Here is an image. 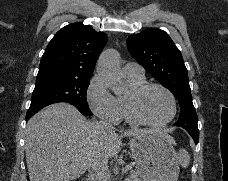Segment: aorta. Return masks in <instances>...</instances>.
I'll return each instance as SVG.
<instances>
[{"mask_svg": "<svg viewBox=\"0 0 228 181\" xmlns=\"http://www.w3.org/2000/svg\"><path fill=\"white\" fill-rule=\"evenodd\" d=\"M97 73L107 87L115 94L123 90L119 66V53L114 49L102 52L98 60Z\"/></svg>", "mask_w": 228, "mask_h": 181, "instance_id": "762f6f07", "label": "aorta"}]
</instances>
